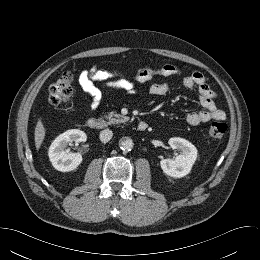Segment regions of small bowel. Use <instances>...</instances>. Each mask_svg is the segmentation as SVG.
<instances>
[{
  "mask_svg": "<svg viewBox=\"0 0 260 260\" xmlns=\"http://www.w3.org/2000/svg\"><path fill=\"white\" fill-rule=\"evenodd\" d=\"M143 71L144 73H138L136 76V80L140 83L146 82L154 76L181 75V70L172 64L146 67ZM78 82L81 89L89 96V106L91 110H95L99 106L102 98L101 88L97 86L96 83H101L105 87L123 90L128 93L135 92L134 82L124 78L116 72L102 70L96 67L82 70L79 74ZM181 84L187 89L194 87L198 89L200 104L204 108V110L187 114V124L197 126L209 122L210 120H225L226 114L216 106L214 101L215 94L208 86L206 79L201 72L196 71L183 77ZM169 90L170 87L168 83H156L150 87V94L152 96H162L168 93Z\"/></svg>",
  "mask_w": 260,
  "mask_h": 260,
  "instance_id": "1",
  "label": "small bowel"
}]
</instances>
